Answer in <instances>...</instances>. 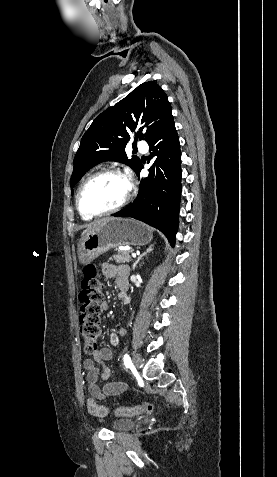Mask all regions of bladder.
<instances>
[{
  "mask_svg": "<svg viewBox=\"0 0 277 477\" xmlns=\"http://www.w3.org/2000/svg\"><path fill=\"white\" fill-rule=\"evenodd\" d=\"M136 422L128 418H119L112 422V429L117 432H126L133 429Z\"/></svg>",
  "mask_w": 277,
  "mask_h": 477,
  "instance_id": "obj_1",
  "label": "bladder"
}]
</instances>
